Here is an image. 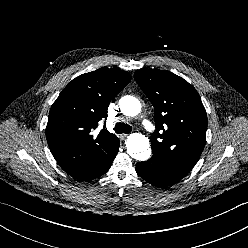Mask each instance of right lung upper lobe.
<instances>
[{
	"mask_svg": "<svg viewBox=\"0 0 248 248\" xmlns=\"http://www.w3.org/2000/svg\"><path fill=\"white\" fill-rule=\"evenodd\" d=\"M130 73L100 68L73 79L52 105L46 138L56 161L75 178L94 171L117 138L107 129L93 135L107 118L110 101L130 82Z\"/></svg>",
	"mask_w": 248,
	"mask_h": 248,
	"instance_id": "obj_1",
	"label": "right lung upper lobe"
}]
</instances>
